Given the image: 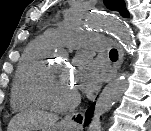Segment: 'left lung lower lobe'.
Masks as SVG:
<instances>
[{
	"instance_id": "left-lung-lower-lobe-1",
	"label": "left lung lower lobe",
	"mask_w": 151,
	"mask_h": 131,
	"mask_svg": "<svg viewBox=\"0 0 151 131\" xmlns=\"http://www.w3.org/2000/svg\"><path fill=\"white\" fill-rule=\"evenodd\" d=\"M94 105L95 103H93L91 107L88 108V110L85 113V123H84L85 126L89 124L91 117L93 116Z\"/></svg>"
}]
</instances>
